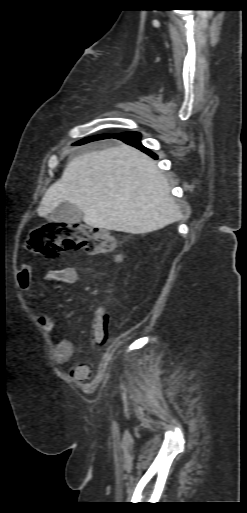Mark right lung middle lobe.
Returning <instances> with one entry per match:
<instances>
[{
  "label": "right lung middle lobe",
  "instance_id": "dd1d6c3e",
  "mask_svg": "<svg viewBox=\"0 0 247 513\" xmlns=\"http://www.w3.org/2000/svg\"><path fill=\"white\" fill-rule=\"evenodd\" d=\"M105 136H109V135L94 136V137L86 138V139H84V140H82L80 142H82L81 144H85V143H88V142H91V141L104 139Z\"/></svg>",
  "mask_w": 247,
  "mask_h": 513
}]
</instances>
